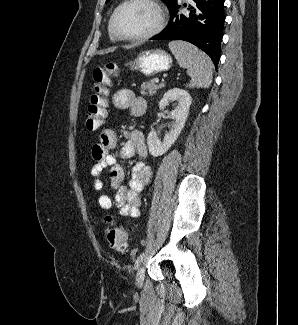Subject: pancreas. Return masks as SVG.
<instances>
[{
    "label": "pancreas",
    "instance_id": "pancreas-1",
    "mask_svg": "<svg viewBox=\"0 0 298 325\" xmlns=\"http://www.w3.org/2000/svg\"><path fill=\"white\" fill-rule=\"evenodd\" d=\"M165 86L164 82H161V84H156L154 80H147V82H142L140 88V94L142 96H153L159 88H163Z\"/></svg>",
    "mask_w": 298,
    "mask_h": 325
}]
</instances>
